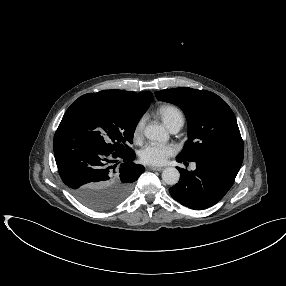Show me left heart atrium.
Returning a JSON list of instances; mask_svg holds the SVG:
<instances>
[{
  "label": "left heart atrium",
  "mask_w": 286,
  "mask_h": 286,
  "mask_svg": "<svg viewBox=\"0 0 286 286\" xmlns=\"http://www.w3.org/2000/svg\"><path fill=\"white\" fill-rule=\"evenodd\" d=\"M177 148L173 144L149 142L140 151L139 157L142 163L152 166H160L173 156Z\"/></svg>",
  "instance_id": "39dd6f15"
}]
</instances>
